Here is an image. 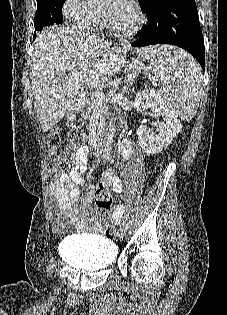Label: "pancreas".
<instances>
[{
  "label": "pancreas",
  "mask_w": 227,
  "mask_h": 315,
  "mask_svg": "<svg viewBox=\"0 0 227 315\" xmlns=\"http://www.w3.org/2000/svg\"><path fill=\"white\" fill-rule=\"evenodd\" d=\"M138 70V67H134L130 70V74L136 72ZM100 84L99 82V79L98 81L96 82V85ZM96 85H93L94 87H92L89 92H88V101H87V104H86V109L88 110V113H83L82 117L84 119H87L89 118V113H92V111L96 110V109H99L100 105L98 104L99 101L98 99L95 97V93L97 91H102V89L98 86L96 87ZM103 101V100H102ZM101 103V102H100Z\"/></svg>",
  "instance_id": "obj_1"
}]
</instances>
